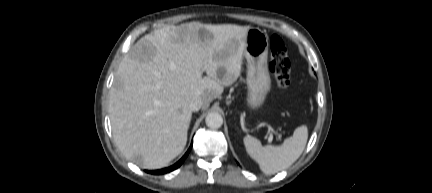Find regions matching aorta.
Instances as JSON below:
<instances>
[{
  "instance_id": "obj_1",
  "label": "aorta",
  "mask_w": 432,
  "mask_h": 193,
  "mask_svg": "<svg viewBox=\"0 0 432 193\" xmlns=\"http://www.w3.org/2000/svg\"><path fill=\"white\" fill-rule=\"evenodd\" d=\"M205 123L209 128L218 129L223 124V118L219 113L211 112L206 116Z\"/></svg>"
}]
</instances>
